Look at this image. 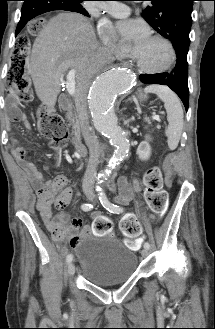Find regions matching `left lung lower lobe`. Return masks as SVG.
Masks as SVG:
<instances>
[{"instance_id": "obj_1", "label": "left lung lower lobe", "mask_w": 215, "mask_h": 329, "mask_svg": "<svg viewBox=\"0 0 215 329\" xmlns=\"http://www.w3.org/2000/svg\"><path fill=\"white\" fill-rule=\"evenodd\" d=\"M177 55L176 66L171 72L158 74H141L140 80L144 84H161L167 85L182 100L186 111L189 105V89H188V48L178 46L175 48Z\"/></svg>"}]
</instances>
